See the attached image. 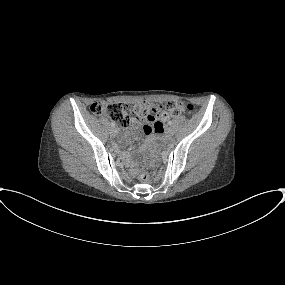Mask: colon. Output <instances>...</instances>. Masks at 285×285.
Listing matches in <instances>:
<instances>
[{"label":"colon","mask_w":285,"mask_h":285,"mask_svg":"<svg viewBox=\"0 0 285 285\" xmlns=\"http://www.w3.org/2000/svg\"><path fill=\"white\" fill-rule=\"evenodd\" d=\"M90 111L95 115L107 116L120 127H126L130 123L131 115L151 118L156 121H165L182 112L194 113L195 106L181 101L167 102L163 108L158 111L155 104L150 102H140L135 104L132 108H129L122 103L97 101L91 104ZM139 177L144 181L150 178L145 172H139Z\"/></svg>","instance_id":"5ec220e1"}]
</instances>
